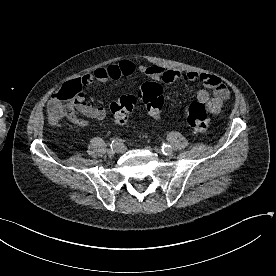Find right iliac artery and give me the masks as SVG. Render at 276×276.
<instances>
[{
	"label": "right iliac artery",
	"instance_id": "1",
	"mask_svg": "<svg viewBox=\"0 0 276 276\" xmlns=\"http://www.w3.org/2000/svg\"><path fill=\"white\" fill-rule=\"evenodd\" d=\"M122 145H123L122 140H120L118 138L113 139L112 142H111V144H110L111 148H113V147H121Z\"/></svg>",
	"mask_w": 276,
	"mask_h": 276
}]
</instances>
